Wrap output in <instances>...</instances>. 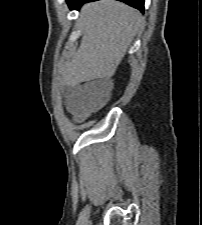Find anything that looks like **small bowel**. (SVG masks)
Segmentation results:
<instances>
[{
    "instance_id": "1",
    "label": "small bowel",
    "mask_w": 202,
    "mask_h": 225,
    "mask_svg": "<svg viewBox=\"0 0 202 225\" xmlns=\"http://www.w3.org/2000/svg\"><path fill=\"white\" fill-rule=\"evenodd\" d=\"M99 83L102 85L113 86L114 80L109 77H103L99 79ZM70 106L73 112V115L76 119L81 118L83 115L88 114L91 110V107L88 102V95L79 89L76 90L75 94L70 100Z\"/></svg>"
}]
</instances>
